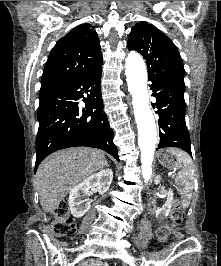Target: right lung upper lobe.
I'll return each instance as SVG.
<instances>
[{"label":"right lung upper lobe","instance_id":"right-lung-upper-lobe-1","mask_svg":"<svg viewBox=\"0 0 221 266\" xmlns=\"http://www.w3.org/2000/svg\"><path fill=\"white\" fill-rule=\"evenodd\" d=\"M102 53L96 31L82 24L64 37L52 49L46 62L41 87H57L102 64Z\"/></svg>","mask_w":221,"mask_h":266}]
</instances>
